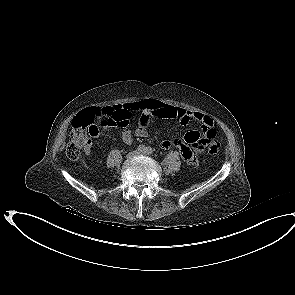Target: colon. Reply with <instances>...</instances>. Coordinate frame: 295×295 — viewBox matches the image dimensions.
<instances>
[{"mask_svg": "<svg viewBox=\"0 0 295 295\" xmlns=\"http://www.w3.org/2000/svg\"><path fill=\"white\" fill-rule=\"evenodd\" d=\"M112 117V109L110 107L96 109L93 111L84 112L76 116L72 122V129L69 134V141L66 147V155L71 160H77L81 156L83 149H86L92 138L98 133L95 119H104ZM128 120L119 123L120 126H127ZM206 143L211 154H216L219 150L218 142L216 141L217 132L213 127L204 129Z\"/></svg>", "mask_w": 295, "mask_h": 295, "instance_id": "5ec220e1", "label": "colon"}]
</instances>
